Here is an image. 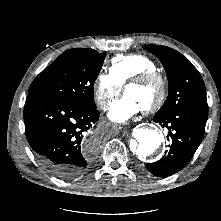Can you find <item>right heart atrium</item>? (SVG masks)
I'll return each instance as SVG.
<instances>
[{"instance_id":"d8ad5b80","label":"right heart atrium","mask_w":221,"mask_h":221,"mask_svg":"<svg viewBox=\"0 0 221 221\" xmlns=\"http://www.w3.org/2000/svg\"><path fill=\"white\" fill-rule=\"evenodd\" d=\"M121 85L107 72H100L94 82L93 94L99 109L106 110L120 93Z\"/></svg>"}]
</instances>
